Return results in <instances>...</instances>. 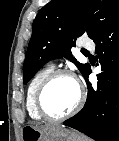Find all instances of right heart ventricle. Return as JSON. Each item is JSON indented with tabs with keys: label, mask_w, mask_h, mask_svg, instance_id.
Masks as SVG:
<instances>
[{
	"label": "right heart ventricle",
	"mask_w": 119,
	"mask_h": 141,
	"mask_svg": "<svg viewBox=\"0 0 119 141\" xmlns=\"http://www.w3.org/2000/svg\"><path fill=\"white\" fill-rule=\"evenodd\" d=\"M53 71L52 66H46L39 70L30 80L27 93L25 106L29 116L34 120H41V116L37 113L35 108V93L41 82Z\"/></svg>",
	"instance_id": "e07e8e85"
}]
</instances>
